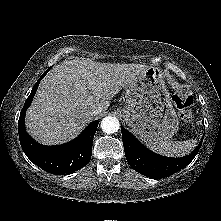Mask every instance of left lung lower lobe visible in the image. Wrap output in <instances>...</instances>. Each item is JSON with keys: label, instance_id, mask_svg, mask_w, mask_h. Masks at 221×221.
I'll list each match as a JSON object with an SVG mask.
<instances>
[{"label": "left lung lower lobe", "instance_id": "obj_1", "mask_svg": "<svg viewBox=\"0 0 221 221\" xmlns=\"http://www.w3.org/2000/svg\"><path fill=\"white\" fill-rule=\"evenodd\" d=\"M125 156L129 165L137 172L155 179L168 177L186 167L198 153L203 138L196 149L181 158L158 155L144 147L129 131L121 127Z\"/></svg>", "mask_w": 221, "mask_h": 221}]
</instances>
